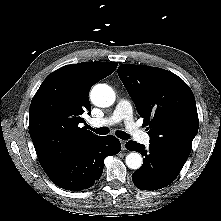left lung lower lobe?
I'll return each mask as SVG.
<instances>
[{
	"mask_svg": "<svg viewBox=\"0 0 221 221\" xmlns=\"http://www.w3.org/2000/svg\"><path fill=\"white\" fill-rule=\"evenodd\" d=\"M126 148L144 156L142 167L132 174L135 186L141 190H157L171 184L185 164L152 144L145 149L142 144L128 141Z\"/></svg>",
	"mask_w": 221,
	"mask_h": 221,
	"instance_id": "obj_1",
	"label": "left lung lower lobe"
}]
</instances>
